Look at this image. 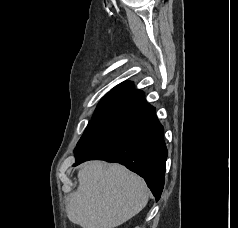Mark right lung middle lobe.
<instances>
[{"label":"right lung middle lobe","mask_w":238,"mask_h":228,"mask_svg":"<svg viewBox=\"0 0 238 228\" xmlns=\"http://www.w3.org/2000/svg\"><path fill=\"white\" fill-rule=\"evenodd\" d=\"M118 116H98L93 115L92 119L89 121L88 126L77 143V147L75 151L78 150L81 146L91 140L94 136H96L100 131H102L105 127H107L111 122L118 119Z\"/></svg>","instance_id":"1"}]
</instances>
